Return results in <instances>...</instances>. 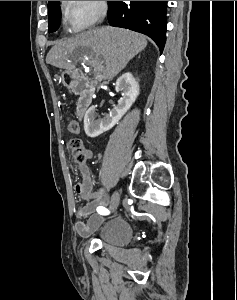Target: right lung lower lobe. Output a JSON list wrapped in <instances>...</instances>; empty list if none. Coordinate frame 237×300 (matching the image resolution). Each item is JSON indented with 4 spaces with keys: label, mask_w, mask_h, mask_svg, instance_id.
<instances>
[{
    "label": "right lung lower lobe",
    "mask_w": 237,
    "mask_h": 300,
    "mask_svg": "<svg viewBox=\"0 0 237 300\" xmlns=\"http://www.w3.org/2000/svg\"><path fill=\"white\" fill-rule=\"evenodd\" d=\"M167 1H109L110 25L148 35L163 51L166 42Z\"/></svg>",
    "instance_id": "98d812e1"
}]
</instances>
